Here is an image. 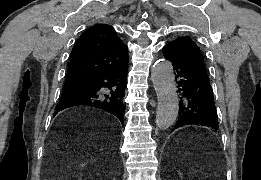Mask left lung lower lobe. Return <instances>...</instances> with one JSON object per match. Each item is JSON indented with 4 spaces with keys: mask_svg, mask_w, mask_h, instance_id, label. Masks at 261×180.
Segmentation results:
<instances>
[{
    "mask_svg": "<svg viewBox=\"0 0 261 180\" xmlns=\"http://www.w3.org/2000/svg\"><path fill=\"white\" fill-rule=\"evenodd\" d=\"M163 53L172 62L179 88V119L174 129L194 124L216 131L218 116L206 70L189 61L173 46L166 45Z\"/></svg>",
    "mask_w": 261,
    "mask_h": 180,
    "instance_id": "1",
    "label": "left lung lower lobe"
}]
</instances>
